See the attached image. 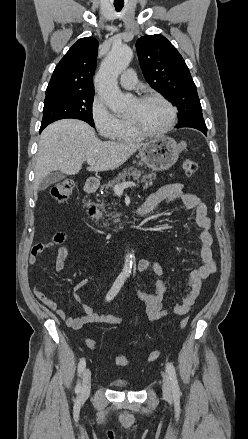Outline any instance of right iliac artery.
<instances>
[{"label": "right iliac artery", "instance_id": "1", "mask_svg": "<svg viewBox=\"0 0 248 439\" xmlns=\"http://www.w3.org/2000/svg\"><path fill=\"white\" fill-rule=\"evenodd\" d=\"M126 278H127V275H125V274H120L117 277V279L115 280L113 286L111 287V289L109 290V292L106 295V300L107 301L112 300L117 295V293L120 291L121 287L123 286ZM85 367H86V361H85V359H81L79 364H78V374H79V376L84 371ZM75 390H76L77 393H80V391H81L80 383L77 384Z\"/></svg>", "mask_w": 248, "mask_h": 439}]
</instances>
